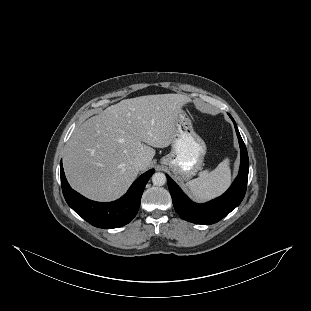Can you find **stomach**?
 Returning a JSON list of instances; mask_svg holds the SVG:
<instances>
[{
	"label": "stomach",
	"mask_w": 311,
	"mask_h": 311,
	"mask_svg": "<svg viewBox=\"0 0 311 311\" xmlns=\"http://www.w3.org/2000/svg\"><path fill=\"white\" fill-rule=\"evenodd\" d=\"M177 135L171 151L160 159L162 166L169 170L181 181H189L203 168L207 152L205 141L196 133L190 115L181 110L176 123Z\"/></svg>",
	"instance_id": "stomach-1"
}]
</instances>
